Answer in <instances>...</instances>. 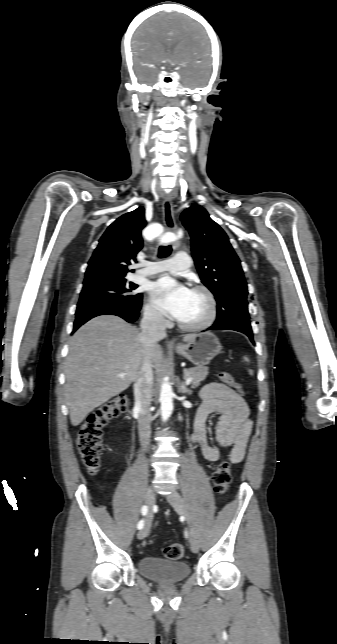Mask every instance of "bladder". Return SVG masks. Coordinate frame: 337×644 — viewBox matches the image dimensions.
<instances>
[{
  "instance_id": "31cf9c89",
  "label": "bladder",
  "mask_w": 337,
  "mask_h": 644,
  "mask_svg": "<svg viewBox=\"0 0 337 644\" xmlns=\"http://www.w3.org/2000/svg\"><path fill=\"white\" fill-rule=\"evenodd\" d=\"M139 572L146 578L160 583H178L190 574V567L182 561L158 557H143L138 563Z\"/></svg>"
}]
</instances>
